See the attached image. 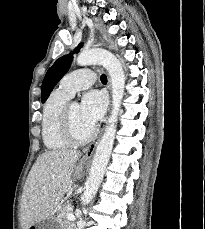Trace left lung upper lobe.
<instances>
[{
	"label": "left lung upper lobe",
	"instance_id": "1",
	"mask_svg": "<svg viewBox=\"0 0 205 229\" xmlns=\"http://www.w3.org/2000/svg\"><path fill=\"white\" fill-rule=\"evenodd\" d=\"M81 47L82 45L79 44V46L75 49V52L77 53ZM71 61H72V53L59 58L58 60H56L53 66L48 69L44 77L42 88H41L42 102L46 101L54 86L68 71Z\"/></svg>",
	"mask_w": 205,
	"mask_h": 229
}]
</instances>
